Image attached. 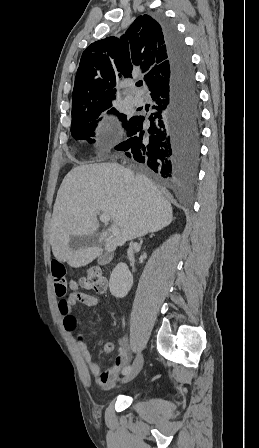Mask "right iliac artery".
<instances>
[{
  "instance_id": "1",
  "label": "right iliac artery",
  "mask_w": 259,
  "mask_h": 448,
  "mask_svg": "<svg viewBox=\"0 0 259 448\" xmlns=\"http://www.w3.org/2000/svg\"><path fill=\"white\" fill-rule=\"evenodd\" d=\"M132 367L131 366H126L123 370H122V374L126 375L131 371Z\"/></svg>"
}]
</instances>
